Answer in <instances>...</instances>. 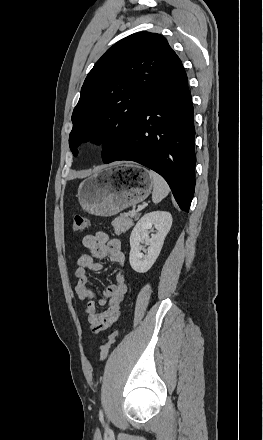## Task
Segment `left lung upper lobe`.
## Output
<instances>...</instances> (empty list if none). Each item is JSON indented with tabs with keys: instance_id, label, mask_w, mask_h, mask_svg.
<instances>
[{
	"instance_id": "obj_1",
	"label": "left lung upper lobe",
	"mask_w": 263,
	"mask_h": 440,
	"mask_svg": "<svg viewBox=\"0 0 263 440\" xmlns=\"http://www.w3.org/2000/svg\"><path fill=\"white\" fill-rule=\"evenodd\" d=\"M175 52L160 34L139 32L109 48L87 75L72 114L69 146L103 143L108 163L130 145L134 122Z\"/></svg>"
}]
</instances>
